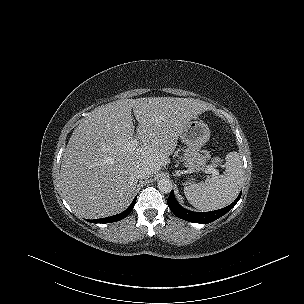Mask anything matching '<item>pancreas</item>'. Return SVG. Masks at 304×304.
I'll return each instance as SVG.
<instances>
[{"label": "pancreas", "mask_w": 304, "mask_h": 304, "mask_svg": "<svg viewBox=\"0 0 304 304\" xmlns=\"http://www.w3.org/2000/svg\"><path fill=\"white\" fill-rule=\"evenodd\" d=\"M219 162H220V159L219 158H215L213 165H215L216 163H219Z\"/></svg>", "instance_id": "pancreas-1"}]
</instances>
